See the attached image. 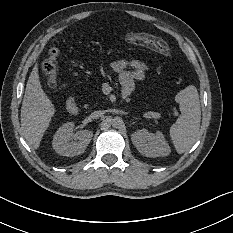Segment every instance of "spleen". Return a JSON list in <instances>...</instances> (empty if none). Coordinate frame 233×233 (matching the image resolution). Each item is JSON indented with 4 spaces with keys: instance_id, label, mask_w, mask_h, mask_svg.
<instances>
[{
    "instance_id": "obj_1",
    "label": "spleen",
    "mask_w": 233,
    "mask_h": 233,
    "mask_svg": "<svg viewBox=\"0 0 233 233\" xmlns=\"http://www.w3.org/2000/svg\"><path fill=\"white\" fill-rule=\"evenodd\" d=\"M179 103L180 117L172 124L170 136L179 153L189 150L197 140L201 110L198 91L195 86L189 85L176 95Z\"/></svg>"
}]
</instances>
